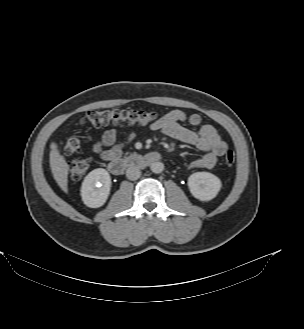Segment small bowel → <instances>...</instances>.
Returning <instances> with one entry per match:
<instances>
[{
  "label": "small bowel",
  "instance_id": "small-bowel-1",
  "mask_svg": "<svg viewBox=\"0 0 304 329\" xmlns=\"http://www.w3.org/2000/svg\"><path fill=\"white\" fill-rule=\"evenodd\" d=\"M184 123L197 129H189L183 125ZM125 128L124 125H120L118 128L108 129L94 143V151L103 160L112 161L120 158L125 146L133 140L134 135L131 132L120 139V132ZM151 129L161 131L165 136L181 143L193 145L204 153L188 164L187 168L190 170L213 168L228 148L213 125L202 124V117L198 113L187 114L180 109H173L153 123Z\"/></svg>",
  "mask_w": 304,
  "mask_h": 329
}]
</instances>
